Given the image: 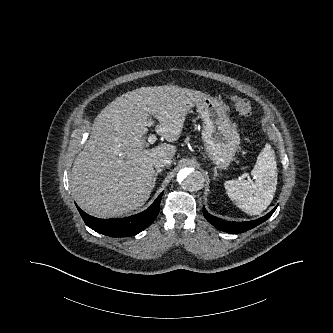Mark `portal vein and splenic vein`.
<instances>
[{
    "mask_svg": "<svg viewBox=\"0 0 333 333\" xmlns=\"http://www.w3.org/2000/svg\"><path fill=\"white\" fill-rule=\"evenodd\" d=\"M152 124V122L150 123V125ZM156 135L155 134H151L149 137H148V142L150 144H153L155 141H156Z\"/></svg>",
    "mask_w": 333,
    "mask_h": 333,
    "instance_id": "obj_1",
    "label": "portal vein and splenic vein"
}]
</instances>
